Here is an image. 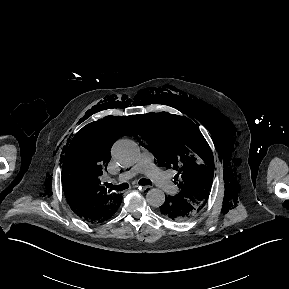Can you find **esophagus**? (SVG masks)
I'll return each mask as SVG.
<instances>
[{"instance_id":"1","label":"esophagus","mask_w":289,"mask_h":289,"mask_svg":"<svg viewBox=\"0 0 289 289\" xmlns=\"http://www.w3.org/2000/svg\"><path fill=\"white\" fill-rule=\"evenodd\" d=\"M132 188H138L140 190L146 191L147 189L150 188V186H139V185H133Z\"/></svg>"}]
</instances>
